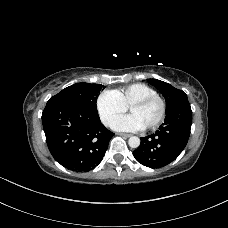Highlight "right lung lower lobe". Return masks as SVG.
Listing matches in <instances>:
<instances>
[{
	"label": "right lung lower lobe",
	"mask_w": 228,
	"mask_h": 228,
	"mask_svg": "<svg viewBox=\"0 0 228 228\" xmlns=\"http://www.w3.org/2000/svg\"><path fill=\"white\" fill-rule=\"evenodd\" d=\"M42 123L54 159L75 172L95 168L114 135L101 123L98 113L67 101H48Z\"/></svg>",
	"instance_id": "1"
}]
</instances>
